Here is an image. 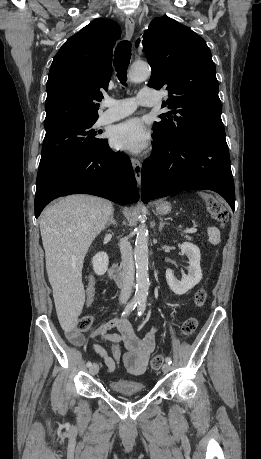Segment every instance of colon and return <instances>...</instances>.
I'll return each mask as SVG.
<instances>
[{"label":"colon","instance_id":"colon-1","mask_svg":"<svg viewBox=\"0 0 261 459\" xmlns=\"http://www.w3.org/2000/svg\"><path fill=\"white\" fill-rule=\"evenodd\" d=\"M205 202H206L207 210L209 214L211 215V217L216 222H218L220 225H224L226 221L228 220V211L224 207V205L218 199H216L214 196L210 194L205 195ZM206 300H207L206 291L204 289L197 290L194 296V304L197 307H202L205 304ZM92 322H93V317L91 315H83L79 317V319L77 320V323L75 325V330L77 332H85L91 327ZM197 327H198L197 318L189 317L183 322L181 329H180V335L182 337H188L195 332ZM113 353L116 355L120 354V351L117 345L113 347ZM163 361H164L163 356L156 355L151 360V363H150L151 368L153 370H159L163 364Z\"/></svg>","mask_w":261,"mask_h":459}]
</instances>
